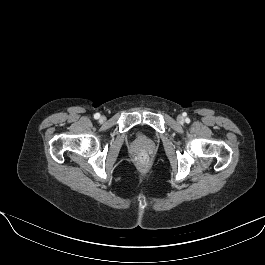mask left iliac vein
<instances>
[{
  "instance_id": "4c4485c4",
  "label": "left iliac vein",
  "mask_w": 265,
  "mask_h": 265,
  "mask_svg": "<svg viewBox=\"0 0 265 265\" xmlns=\"http://www.w3.org/2000/svg\"><path fill=\"white\" fill-rule=\"evenodd\" d=\"M177 119H178L179 122H183V117L182 116H178Z\"/></svg>"
}]
</instances>
